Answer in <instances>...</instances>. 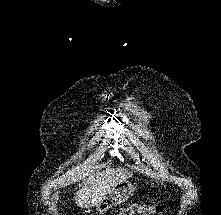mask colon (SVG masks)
Segmentation results:
<instances>
[{"mask_svg": "<svg viewBox=\"0 0 221 215\" xmlns=\"http://www.w3.org/2000/svg\"><path fill=\"white\" fill-rule=\"evenodd\" d=\"M163 209L157 205L131 204L120 208L116 215H162Z\"/></svg>", "mask_w": 221, "mask_h": 215, "instance_id": "obj_1", "label": "colon"}]
</instances>
